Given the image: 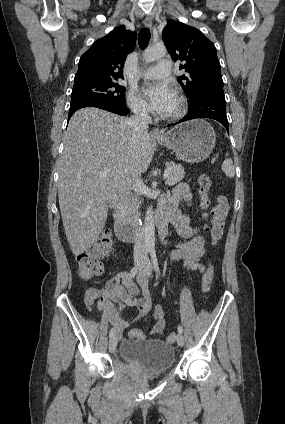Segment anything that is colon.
Masks as SVG:
<instances>
[{
    "label": "colon",
    "instance_id": "colon-1",
    "mask_svg": "<svg viewBox=\"0 0 285 424\" xmlns=\"http://www.w3.org/2000/svg\"><path fill=\"white\" fill-rule=\"evenodd\" d=\"M211 187V177L208 174H203L198 180V191L201 197L203 207L209 205V191ZM229 205L225 194H219L216 198V203L211 211L210 223L206 225L205 231L212 237L213 242H217L222 235L225 220L228 215ZM113 248L112 233L108 228H105L99 235L95 247L92 250L84 251L76 256L78 265V273L81 279L91 280L98 276L103 271L102 258L108 256ZM214 268L212 263H207L204 278L203 291L208 293L213 280ZM130 338H142V334L138 330L130 332ZM175 340V333H171L167 337L168 342Z\"/></svg>",
    "mask_w": 285,
    "mask_h": 424
}]
</instances>
